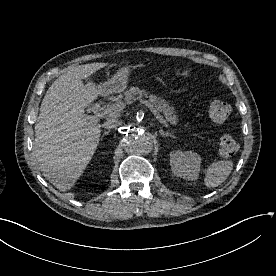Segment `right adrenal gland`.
<instances>
[{
    "mask_svg": "<svg viewBox=\"0 0 276 276\" xmlns=\"http://www.w3.org/2000/svg\"><path fill=\"white\" fill-rule=\"evenodd\" d=\"M109 133V131H105L104 134L102 135V137H104L105 135H107Z\"/></svg>",
    "mask_w": 276,
    "mask_h": 276,
    "instance_id": "1",
    "label": "right adrenal gland"
}]
</instances>
